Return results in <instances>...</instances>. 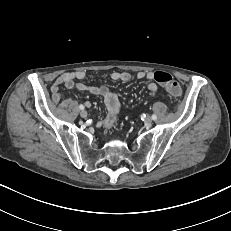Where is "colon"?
I'll return each mask as SVG.
<instances>
[{"label":"colon","instance_id":"colon-1","mask_svg":"<svg viewBox=\"0 0 231 231\" xmlns=\"http://www.w3.org/2000/svg\"><path fill=\"white\" fill-rule=\"evenodd\" d=\"M153 79L157 83L163 85L167 92L172 96H179L181 95V87L180 85L173 81V77L170 73L165 71H156L153 74Z\"/></svg>","mask_w":231,"mask_h":231}]
</instances>
